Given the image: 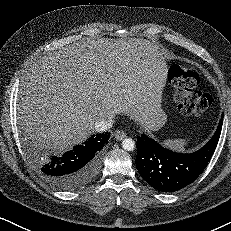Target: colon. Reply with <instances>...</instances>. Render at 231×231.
<instances>
[{"label": "colon", "instance_id": "1", "mask_svg": "<svg viewBox=\"0 0 231 231\" xmlns=\"http://www.w3.org/2000/svg\"><path fill=\"white\" fill-rule=\"evenodd\" d=\"M168 78L174 87V97L182 113L199 115L210 108L212 97L194 90L199 75L193 67L173 65L169 69Z\"/></svg>", "mask_w": 231, "mask_h": 231}]
</instances>
